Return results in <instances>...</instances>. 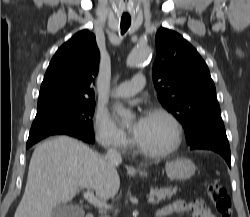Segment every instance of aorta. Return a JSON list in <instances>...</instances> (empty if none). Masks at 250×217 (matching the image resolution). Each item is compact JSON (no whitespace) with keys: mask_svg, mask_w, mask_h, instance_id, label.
<instances>
[{"mask_svg":"<svg viewBox=\"0 0 250 217\" xmlns=\"http://www.w3.org/2000/svg\"><path fill=\"white\" fill-rule=\"evenodd\" d=\"M152 53V50L147 45H139L135 49L132 50L128 57V65L133 67L137 64H140L146 61ZM118 111L123 114V107L121 105L117 106ZM130 119H126V123H128Z\"/></svg>","mask_w":250,"mask_h":217,"instance_id":"1","label":"aorta"}]
</instances>
